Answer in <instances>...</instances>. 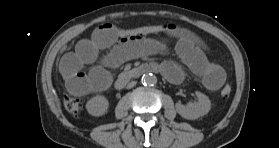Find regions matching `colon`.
<instances>
[{
    "mask_svg": "<svg viewBox=\"0 0 279 148\" xmlns=\"http://www.w3.org/2000/svg\"><path fill=\"white\" fill-rule=\"evenodd\" d=\"M117 34L124 38H138L144 37L150 34L158 33L162 30H173V27L168 24H155L136 26L132 28H123L117 25H113ZM232 92L231 85H225L221 90V96L228 98ZM65 109L72 115H78L81 111L80 98L72 95H65L63 98Z\"/></svg>",
    "mask_w": 279,
    "mask_h": 148,
    "instance_id": "1",
    "label": "colon"
}]
</instances>
